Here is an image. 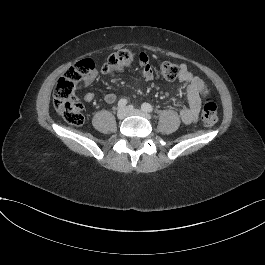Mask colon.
Instances as JSON below:
<instances>
[{
  "mask_svg": "<svg viewBox=\"0 0 265 265\" xmlns=\"http://www.w3.org/2000/svg\"><path fill=\"white\" fill-rule=\"evenodd\" d=\"M135 59V53L129 48H123L112 53L102 71L111 74L128 68ZM95 69L93 59H83L70 67L58 80L54 91V107L57 112L71 125L80 126L84 122L83 105L79 101L76 91L83 78ZM161 76L168 80H175L179 76L180 68L171 62H162L159 65ZM202 91L206 96L203 102L201 119L205 126H213L218 120L217 104L211 96H208L209 88L205 84Z\"/></svg>",
  "mask_w": 265,
  "mask_h": 265,
  "instance_id": "obj_1",
  "label": "colon"
}]
</instances>
